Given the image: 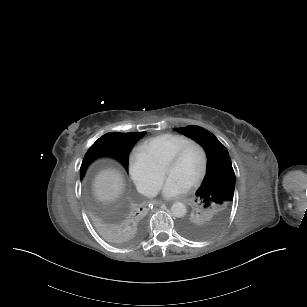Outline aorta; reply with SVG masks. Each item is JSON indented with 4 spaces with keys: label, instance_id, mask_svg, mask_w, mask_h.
<instances>
[{
    "label": "aorta",
    "instance_id": "762f6f07",
    "mask_svg": "<svg viewBox=\"0 0 307 307\" xmlns=\"http://www.w3.org/2000/svg\"><path fill=\"white\" fill-rule=\"evenodd\" d=\"M171 213L174 217L181 218L186 214V206L182 202H176L171 206Z\"/></svg>",
    "mask_w": 307,
    "mask_h": 307
}]
</instances>
